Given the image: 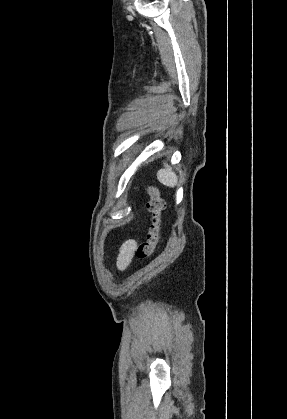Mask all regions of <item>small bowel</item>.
Segmentation results:
<instances>
[{"label":"small bowel","instance_id":"obj_1","mask_svg":"<svg viewBox=\"0 0 287 419\" xmlns=\"http://www.w3.org/2000/svg\"><path fill=\"white\" fill-rule=\"evenodd\" d=\"M136 246L137 242L135 240H128L121 246L117 257V268L119 270H124L131 263Z\"/></svg>","mask_w":287,"mask_h":419}]
</instances>
